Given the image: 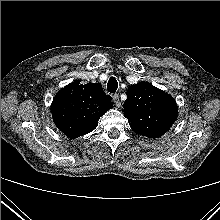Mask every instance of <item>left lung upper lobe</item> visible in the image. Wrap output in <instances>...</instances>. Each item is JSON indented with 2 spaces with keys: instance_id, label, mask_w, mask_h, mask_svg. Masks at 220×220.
<instances>
[{
  "instance_id": "5c2ea615",
  "label": "left lung upper lobe",
  "mask_w": 220,
  "mask_h": 220,
  "mask_svg": "<svg viewBox=\"0 0 220 220\" xmlns=\"http://www.w3.org/2000/svg\"><path fill=\"white\" fill-rule=\"evenodd\" d=\"M124 116L132 130L148 138L165 134L177 119L175 100L148 82H139L127 90Z\"/></svg>"
}]
</instances>
